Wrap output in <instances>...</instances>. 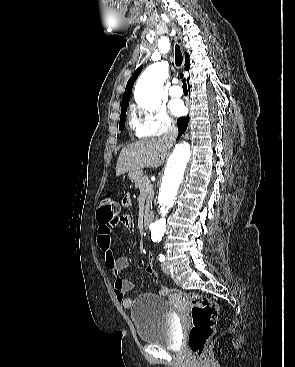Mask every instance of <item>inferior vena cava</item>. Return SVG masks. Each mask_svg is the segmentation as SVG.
Masks as SVG:
<instances>
[{"label": "inferior vena cava", "mask_w": 295, "mask_h": 367, "mask_svg": "<svg viewBox=\"0 0 295 367\" xmlns=\"http://www.w3.org/2000/svg\"><path fill=\"white\" fill-rule=\"evenodd\" d=\"M178 135L177 127L174 124H167L164 134H163V141L168 148L173 146Z\"/></svg>", "instance_id": "1"}]
</instances>
